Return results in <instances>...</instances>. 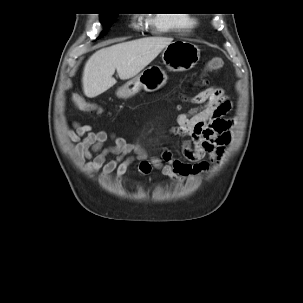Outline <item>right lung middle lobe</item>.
I'll return each instance as SVG.
<instances>
[{
	"label": "right lung middle lobe",
	"mask_w": 303,
	"mask_h": 303,
	"mask_svg": "<svg viewBox=\"0 0 303 303\" xmlns=\"http://www.w3.org/2000/svg\"><path fill=\"white\" fill-rule=\"evenodd\" d=\"M101 22L103 24H107V28L105 31L101 34V36L105 35L108 32V28L111 26V24L115 21L116 14H100Z\"/></svg>",
	"instance_id": "right-lung-middle-lobe-1"
}]
</instances>
